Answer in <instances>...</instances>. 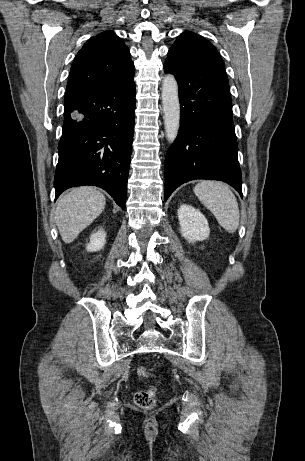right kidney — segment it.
Listing matches in <instances>:
<instances>
[{
  "mask_svg": "<svg viewBox=\"0 0 305 461\" xmlns=\"http://www.w3.org/2000/svg\"><path fill=\"white\" fill-rule=\"evenodd\" d=\"M106 243V233L100 229L90 236V242L87 244V251L96 252L104 247Z\"/></svg>",
  "mask_w": 305,
  "mask_h": 461,
  "instance_id": "right-kidney-1",
  "label": "right kidney"
}]
</instances>
